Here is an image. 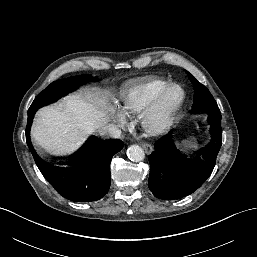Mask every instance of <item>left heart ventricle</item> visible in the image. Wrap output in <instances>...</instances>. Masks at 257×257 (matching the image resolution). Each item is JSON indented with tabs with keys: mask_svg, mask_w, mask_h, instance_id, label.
Masks as SVG:
<instances>
[{
	"mask_svg": "<svg viewBox=\"0 0 257 257\" xmlns=\"http://www.w3.org/2000/svg\"><path fill=\"white\" fill-rule=\"evenodd\" d=\"M180 90L178 88H173L171 89L166 96V103L168 105H172L174 103H176L178 101V99L180 98Z\"/></svg>",
	"mask_w": 257,
	"mask_h": 257,
	"instance_id": "left-heart-ventricle-1",
	"label": "left heart ventricle"
}]
</instances>
